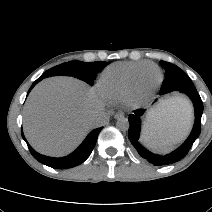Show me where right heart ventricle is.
I'll return each instance as SVG.
<instances>
[{
    "label": "right heart ventricle",
    "mask_w": 212,
    "mask_h": 212,
    "mask_svg": "<svg viewBox=\"0 0 212 212\" xmlns=\"http://www.w3.org/2000/svg\"><path fill=\"white\" fill-rule=\"evenodd\" d=\"M152 65L153 63L146 61L119 62L110 65L98 78L100 92L110 102L126 101L136 72Z\"/></svg>",
    "instance_id": "right-heart-ventricle-1"
}]
</instances>
